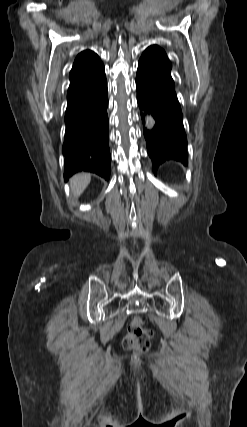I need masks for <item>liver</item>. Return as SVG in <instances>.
Returning <instances> with one entry per match:
<instances>
[{
    "label": "liver",
    "mask_w": 247,
    "mask_h": 427,
    "mask_svg": "<svg viewBox=\"0 0 247 427\" xmlns=\"http://www.w3.org/2000/svg\"><path fill=\"white\" fill-rule=\"evenodd\" d=\"M90 181H91V176L88 173H80V174L74 175L70 180L72 193L76 197H79L83 193V191L86 189Z\"/></svg>",
    "instance_id": "obj_1"
}]
</instances>
